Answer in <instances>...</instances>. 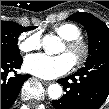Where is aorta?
Masks as SVG:
<instances>
[{"label": "aorta", "instance_id": "1", "mask_svg": "<svg viewBox=\"0 0 109 109\" xmlns=\"http://www.w3.org/2000/svg\"><path fill=\"white\" fill-rule=\"evenodd\" d=\"M43 46L47 53H56L57 46L59 45L60 41L59 38L53 35H46L43 38ZM48 96L53 99L57 100L62 96V87L59 84H51L48 87Z\"/></svg>", "mask_w": 109, "mask_h": 109}]
</instances>
